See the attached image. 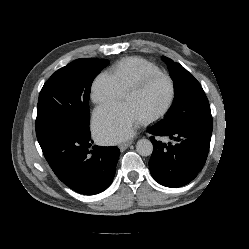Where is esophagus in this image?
<instances>
[{
	"mask_svg": "<svg viewBox=\"0 0 249 249\" xmlns=\"http://www.w3.org/2000/svg\"><path fill=\"white\" fill-rule=\"evenodd\" d=\"M132 144V141H127V142H124V143H121V144H119V149L121 150V151H124V150H126L130 145Z\"/></svg>",
	"mask_w": 249,
	"mask_h": 249,
	"instance_id": "1",
	"label": "esophagus"
}]
</instances>
